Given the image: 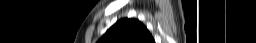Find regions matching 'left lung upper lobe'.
I'll return each instance as SVG.
<instances>
[{
	"label": "left lung upper lobe",
	"instance_id": "1",
	"mask_svg": "<svg viewBox=\"0 0 256 43\" xmlns=\"http://www.w3.org/2000/svg\"><path fill=\"white\" fill-rule=\"evenodd\" d=\"M98 43H155L147 28L136 19L117 21Z\"/></svg>",
	"mask_w": 256,
	"mask_h": 43
}]
</instances>
